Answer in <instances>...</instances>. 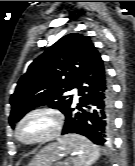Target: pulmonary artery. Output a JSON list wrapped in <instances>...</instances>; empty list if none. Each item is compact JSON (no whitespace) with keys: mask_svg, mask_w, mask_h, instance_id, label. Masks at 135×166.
Segmentation results:
<instances>
[{"mask_svg":"<svg viewBox=\"0 0 135 166\" xmlns=\"http://www.w3.org/2000/svg\"><path fill=\"white\" fill-rule=\"evenodd\" d=\"M73 93H74V94H75V96L77 97L78 90L75 88V89L73 90Z\"/></svg>","mask_w":135,"mask_h":166,"instance_id":"pulmonary-artery-1","label":"pulmonary artery"}]
</instances>
